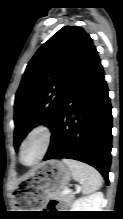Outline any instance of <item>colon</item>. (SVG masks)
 <instances>
[{"instance_id":"5ec220e1","label":"colon","mask_w":123,"mask_h":219,"mask_svg":"<svg viewBox=\"0 0 123 219\" xmlns=\"http://www.w3.org/2000/svg\"><path fill=\"white\" fill-rule=\"evenodd\" d=\"M58 205L57 201H51L50 207L55 208Z\"/></svg>"}]
</instances>
